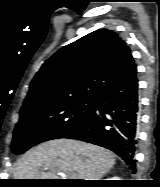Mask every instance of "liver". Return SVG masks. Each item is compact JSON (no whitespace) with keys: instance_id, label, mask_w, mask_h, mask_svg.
<instances>
[{"instance_id":"liver-1","label":"liver","mask_w":160,"mask_h":187,"mask_svg":"<svg viewBox=\"0 0 160 187\" xmlns=\"http://www.w3.org/2000/svg\"><path fill=\"white\" fill-rule=\"evenodd\" d=\"M115 164L105 148L71 139H56L27 151L17 162L14 179H59L58 173H76V179L100 180Z\"/></svg>"}]
</instances>
